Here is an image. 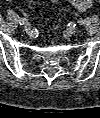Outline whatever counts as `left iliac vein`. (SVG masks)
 Returning <instances> with one entry per match:
<instances>
[{
  "mask_svg": "<svg viewBox=\"0 0 100 118\" xmlns=\"http://www.w3.org/2000/svg\"><path fill=\"white\" fill-rule=\"evenodd\" d=\"M76 32H77V28L76 27H71V28H68L66 30V34H68V35H74Z\"/></svg>",
  "mask_w": 100,
  "mask_h": 118,
  "instance_id": "1",
  "label": "left iliac vein"
}]
</instances>
